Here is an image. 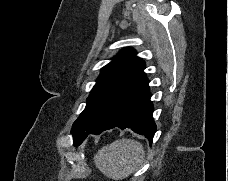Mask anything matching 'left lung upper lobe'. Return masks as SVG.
<instances>
[{"mask_svg":"<svg viewBox=\"0 0 228 181\" xmlns=\"http://www.w3.org/2000/svg\"><path fill=\"white\" fill-rule=\"evenodd\" d=\"M144 61L131 48L118 53L101 69L84 111L74 122L71 133L117 124L139 84L145 79Z\"/></svg>","mask_w":228,"mask_h":181,"instance_id":"5c2ea615","label":"left lung upper lobe"}]
</instances>
